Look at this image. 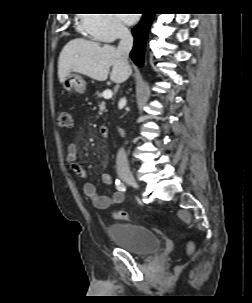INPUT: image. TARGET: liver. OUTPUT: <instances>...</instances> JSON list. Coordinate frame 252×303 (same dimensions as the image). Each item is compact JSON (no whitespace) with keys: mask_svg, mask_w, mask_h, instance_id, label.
Returning <instances> with one entry per match:
<instances>
[{"mask_svg":"<svg viewBox=\"0 0 252 303\" xmlns=\"http://www.w3.org/2000/svg\"><path fill=\"white\" fill-rule=\"evenodd\" d=\"M120 84L131 74L129 64L112 45L77 38L69 41L62 49L58 60V77L60 83L71 73L86 75L97 81L108 78Z\"/></svg>","mask_w":252,"mask_h":303,"instance_id":"1","label":"liver"}]
</instances>
